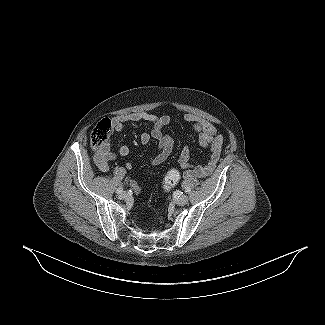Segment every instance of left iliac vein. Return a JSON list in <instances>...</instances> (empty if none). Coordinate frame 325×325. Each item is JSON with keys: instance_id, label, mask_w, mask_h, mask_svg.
Instances as JSON below:
<instances>
[{"instance_id": "obj_1", "label": "left iliac vein", "mask_w": 325, "mask_h": 325, "mask_svg": "<svg viewBox=\"0 0 325 325\" xmlns=\"http://www.w3.org/2000/svg\"><path fill=\"white\" fill-rule=\"evenodd\" d=\"M176 203L180 206H184L188 203V197L183 194L176 199Z\"/></svg>"}]
</instances>
